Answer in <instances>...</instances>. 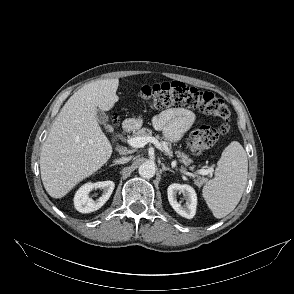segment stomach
<instances>
[{"mask_svg": "<svg viewBox=\"0 0 294 294\" xmlns=\"http://www.w3.org/2000/svg\"><path fill=\"white\" fill-rule=\"evenodd\" d=\"M136 127H140L143 123V118L141 115H139L137 118H134L133 120Z\"/></svg>", "mask_w": 294, "mask_h": 294, "instance_id": "stomach-1", "label": "stomach"}]
</instances>
